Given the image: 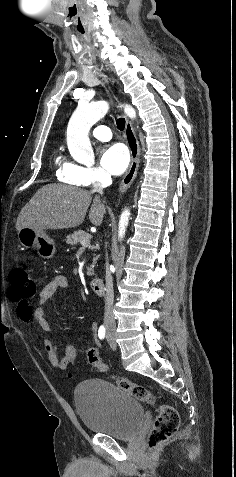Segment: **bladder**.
Returning <instances> with one entry per match:
<instances>
[{
  "mask_svg": "<svg viewBox=\"0 0 236 477\" xmlns=\"http://www.w3.org/2000/svg\"><path fill=\"white\" fill-rule=\"evenodd\" d=\"M74 402L90 432L116 439L134 437L144 420L139 399L103 379L92 378L79 384L74 391Z\"/></svg>",
  "mask_w": 236,
  "mask_h": 477,
  "instance_id": "bladder-1",
  "label": "bladder"
}]
</instances>
